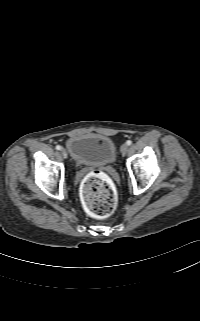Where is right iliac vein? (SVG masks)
I'll use <instances>...</instances> for the list:
<instances>
[{"label": "right iliac vein", "mask_w": 200, "mask_h": 321, "mask_svg": "<svg viewBox=\"0 0 200 321\" xmlns=\"http://www.w3.org/2000/svg\"><path fill=\"white\" fill-rule=\"evenodd\" d=\"M60 152H61V154H62V156H63L64 158L67 157V153H66V150H65L64 148H62V149L60 150Z\"/></svg>", "instance_id": "63e3f726"}]
</instances>
